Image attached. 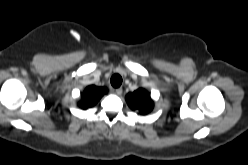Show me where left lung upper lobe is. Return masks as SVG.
<instances>
[{
	"mask_svg": "<svg viewBox=\"0 0 248 165\" xmlns=\"http://www.w3.org/2000/svg\"><path fill=\"white\" fill-rule=\"evenodd\" d=\"M126 101L132 110H138L143 115L153 109V101L150 98V94L142 88L133 93H128Z\"/></svg>",
	"mask_w": 248,
	"mask_h": 165,
	"instance_id": "1",
	"label": "left lung upper lobe"
}]
</instances>
